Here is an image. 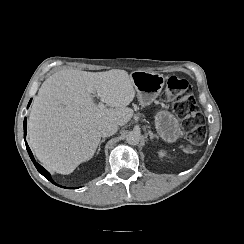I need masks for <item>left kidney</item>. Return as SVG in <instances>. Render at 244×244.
Segmentation results:
<instances>
[{"mask_svg": "<svg viewBox=\"0 0 244 244\" xmlns=\"http://www.w3.org/2000/svg\"><path fill=\"white\" fill-rule=\"evenodd\" d=\"M158 155L160 158H163L167 156V152L165 150H159Z\"/></svg>", "mask_w": 244, "mask_h": 244, "instance_id": "left-kidney-1", "label": "left kidney"}]
</instances>
